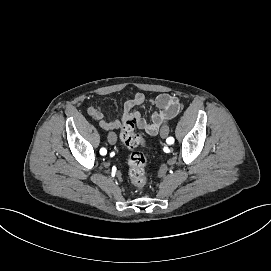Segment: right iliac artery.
Wrapping results in <instances>:
<instances>
[{
  "instance_id": "1",
  "label": "right iliac artery",
  "mask_w": 271,
  "mask_h": 271,
  "mask_svg": "<svg viewBox=\"0 0 271 271\" xmlns=\"http://www.w3.org/2000/svg\"><path fill=\"white\" fill-rule=\"evenodd\" d=\"M100 154H101V156H106V149H105V148H102V149L100 150Z\"/></svg>"
}]
</instances>
